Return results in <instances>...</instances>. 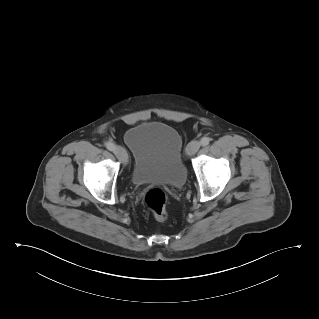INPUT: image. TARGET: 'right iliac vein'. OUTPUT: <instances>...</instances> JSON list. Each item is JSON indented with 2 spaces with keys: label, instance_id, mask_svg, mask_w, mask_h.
<instances>
[{
  "label": "right iliac vein",
  "instance_id": "right-iliac-vein-1",
  "mask_svg": "<svg viewBox=\"0 0 319 319\" xmlns=\"http://www.w3.org/2000/svg\"><path fill=\"white\" fill-rule=\"evenodd\" d=\"M114 153L116 155V157L123 163V164H127L128 162V156L127 153L125 151V149L121 146H116Z\"/></svg>",
  "mask_w": 319,
  "mask_h": 319
}]
</instances>
